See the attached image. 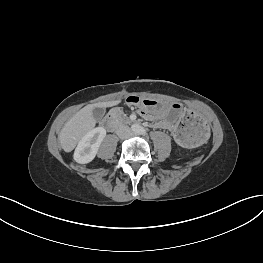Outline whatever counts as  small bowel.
I'll use <instances>...</instances> for the list:
<instances>
[{
    "mask_svg": "<svg viewBox=\"0 0 263 263\" xmlns=\"http://www.w3.org/2000/svg\"><path fill=\"white\" fill-rule=\"evenodd\" d=\"M139 113H140V115H141L144 119H146V120H148V121H155L154 126H155L156 128L168 130V131L171 133V135H172V137L174 138V140H175L178 144L182 145V144L177 140V134H176L172 129L167 128L165 125H163V124L160 122V116L157 117L156 114H154L153 112H151V111H149V110H141Z\"/></svg>",
    "mask_w": 263,
    "mask_h": 263,
    "instance_id": "c3829d8e",
    "label": "small bowel"
}]
</instances>
